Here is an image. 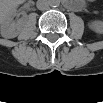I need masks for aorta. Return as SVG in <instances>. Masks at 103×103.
Masks as SVG:
<instances>
[{"label": "aorta", "instance_id": "1", "mask_svg": "<svg viewBox=\"0 0 103 103\" xmlns=\"http://www.w3.org/2000/svg\"><path fill=\"white\" fill-rule=\"evenodd\" d=\"M58 4H59V3H58V1H56V0H51V1L49 2V5L52 6V7H56Z\"/></svg>", "mask_w": 103, "mask_h": 103}]
</instances>
